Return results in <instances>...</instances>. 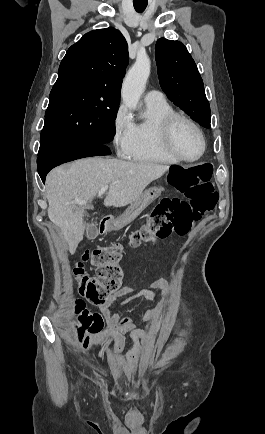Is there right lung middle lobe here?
<instances>
[{
	"mask_svg": "<svg viewBox=\"0 0 265 434\" xmlns=\"http://www.w3.org/2000/svg\"><path fill=\"white\" fill-rule=\"evenodd\" d=\"M120 93L86 80L56 82L51 90L41 141H112Z\"/></svg>",
	"mask_w": 265,
	"mask_h": 434,
	"instance_id": "1",
	"label": "right lung middle lobe"
}]
</instances>
